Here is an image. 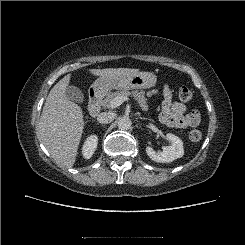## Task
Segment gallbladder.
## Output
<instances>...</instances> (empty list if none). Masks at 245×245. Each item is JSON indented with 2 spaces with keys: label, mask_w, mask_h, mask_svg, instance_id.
<instances>
[{
  "label": "gallbladder",
  "mask_w": 245,
  "mask_h": 245,
  "mask_svg": "<svg viewBox=\"0 0 245 245\" xmlns=\"http://www.w3.org/2000/svg\"><path fill=\"white\" fill-rule=\"evenodd\" d=\"M66 98L70 101L82 104L84 102L83 92L76 86H68L66 88Z\"/></svg>",
  "instance_id": "bac80fb5"
}]
</instances>
